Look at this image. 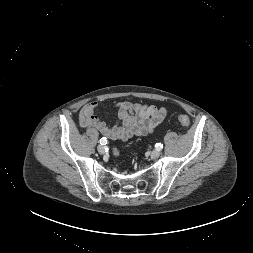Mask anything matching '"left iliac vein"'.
Returning <instances> with one entry per match:
<instances>
[{
	"instance_id": "left-iliac-vein-1",
	"label": "left iliac vein",
	"mask_w": 253,
	"mask_h": 253,
	"mask_svg": "<svg viewBox=\"0 0 253 253\" xmlns=\"http://www.w3.org/2000/svg\"><path fill=\"white\" fill-rule=\"evenodd\" d=\"M160 154H161L160 150L156 149V150L152 151L150 155L153 159H156L160 156Z\"/></svg>"
}]
</instances>
